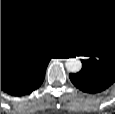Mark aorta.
I'll use <instances>...</instances> for the list:
<instances>
[{"label":"aorta","mask_w":115,"mask_h":114,"mask_svg":"<svg viewBox=\"0 0 115 114\" xmlns=\"http://www.w3.org/2000/svg\"><path fill=\"white\" fill-rule=\"evenodd\" d=\"M65 67L69 72L77 73L82 68V63L78 58H69L65 62Z\"/></svg>","instance_id":"762f6f07"}]
</instances>
